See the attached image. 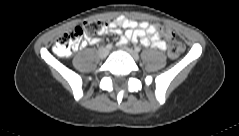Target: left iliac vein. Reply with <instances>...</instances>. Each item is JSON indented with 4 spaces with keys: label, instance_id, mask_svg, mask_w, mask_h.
Returning a JSON list of instances; mask_svg holds the SVG:
<instances>
[{
    "label": "left iliac vein",
    "instance_id": "4c4485c4",
    "mask_svg": "<svg viewBox=\"0 0 239 136\" xmlns=\"http://www.w3.org/2000/svg\"><path fill=\"white\" fill-rule=\"evenodd\" d=\"M120 48L125 50L128 54H130L133 57V59H135V60L139 59V55L136 51H134L130 48L124 47V46H121Z\"/></svg>",
    "mask_w": 239,
    "mask_h": 136
}]
</instances>
